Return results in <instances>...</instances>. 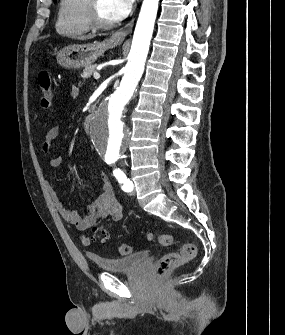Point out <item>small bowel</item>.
Wrapping results in <instances>:
<instances>
[{
  "label": "small bowel",
  "mask_w": 285,
  "mask_h": 335,
  "mask_svg": "<svg viewBox=\"0 0 285 335\" xmlns=\"http://www.w3.org/2000/svg\"><path fill=\"white\" fill-rule=\"evenodd\" d=\"M77 94V89L72 90V95ZM60 133V127L50 128L46 134L43 143V151L50 153L53 149L55 140ZM61 157L55 156L49 160L51 168H57L61 165ZM99 186L93 201L86 207L84 213L66 208L61 202L55 190L50 187L52 201L57 208L61 218L68 224L72 225L81 233L80 239L84 245H89L91 240L83 232L95 226L99 219L108 218L113 221H120L124 217V206L115 196L112 186L104 174L99 175Z\"/></svg>",
  "instance_id": "c3829d8e"
}]
</instances>
